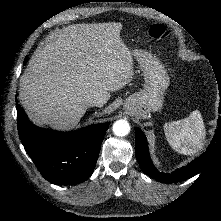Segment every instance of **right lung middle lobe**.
<instances>
[{
    "instance_id": "right-lung-middle-lobe-1",
    "label": "right lung middle lobe",
    "mask_w": 221,
    "mask_h": 221,
    "mask_svg": "<svg viewBox=\"0 0 221 221\" xmlns=\"http://www.w3.org/2000/svg\"><path fill=\"white\" fill-rule=\"evenodd\" d=\"M27 62V60L25 59L24 64Z\"/></svg>"
}]
</instances>
